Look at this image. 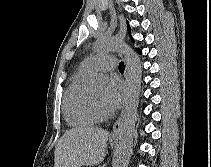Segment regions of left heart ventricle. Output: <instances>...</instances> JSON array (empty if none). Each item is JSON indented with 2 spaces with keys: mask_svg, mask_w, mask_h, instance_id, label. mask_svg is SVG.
Wrapping results in <instances>:
<instances>
[{
  "mask_svg": "<svg viewBox=\"0 0 211 167\" xmlns=\"http://www.w3.org/2000/svg\"><path fill=\"white\" fill-rule=\"evenodd\" d=\"M90 93L98 110L102 113H106L103 107V89L92 90Z\"/></svg>",
  "mask_w": 211,
  "mask_h": 167,
  "instance_id": "1",
  "label": "left heart ventricle"
}]
</instances>
